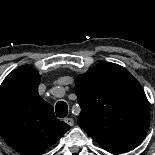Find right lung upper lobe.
I'll use <instances>...</instances> for the list:
<instances>
[{"label": "right lung upper lobe", "instance_id": "obj_1", "mask_svg": "<svg viewBox=\"0 0 155 155\" xmlns=\"http://www.w3.org/2000/svg\"><path fill=\"white\" fill-rule=\"evenodd\" d=\"M40 80L37 71L21 66L0 86V134L21 155H41L70 129L39 96Z\"/></svg>", "mask_w": 155, "mask_h": 155}]
</instances>
